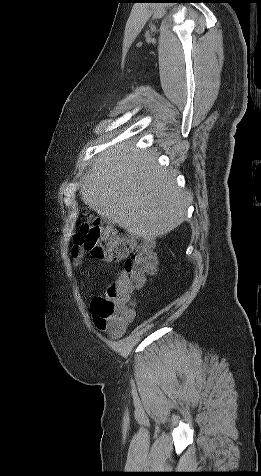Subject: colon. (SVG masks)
<instances>
[{
	"label": "colon",
	"instance_id": "5ec220e1",
	"mask_svg": "<svg viewBox=\"0 0 261 476\" xmlns=\"http://www.w3.org/2000/svg\"><path fill=\"white\" fill-rule=\"evenodd\" d=\"M82 249L88 250L100 260L125 261L124 271L119 279L106 285L91 305L96 327L118 336L135 316V290L144 287L147 276L157 270L153 242L144 240L135 243L117 233L108 221L87 219L75 235L73 255L77 258Z\"/></svg>",
	"mask_w": 261,
	"mask_h": 476
}]
</instances>
